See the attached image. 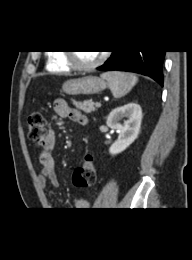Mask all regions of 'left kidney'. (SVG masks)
Returning a JSON list of instances; mask_svg holds the SVG:
<instances>
[{"label": "left kidney", "mask_w": 192, "mask_h": 260, "mask_svg": "<svg viewBox=\"0 0 192 260\" xmlns=\"http://www.w3.org/2000/svg\"><path fill=\"white\" fill-rule=\"evenodd\" d=\"M127 118L124 123L120 121ZM142 121V109L137 103H128L113 109L107 117L106 124L116 130L118 139L111 145L112 155L126 150L138 137Z\"/></svg>", "instance_id": "1"}]
</instances>
